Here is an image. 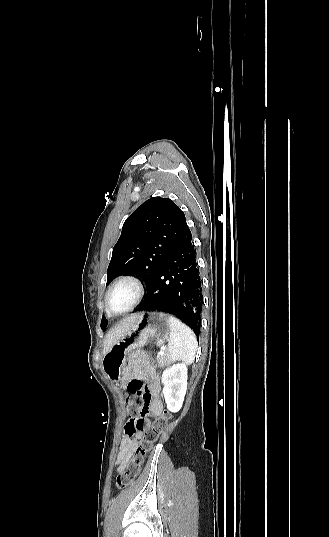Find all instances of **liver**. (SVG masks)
Returning a JSON list of instances; mask_svg holds the SVG:
<instances>
[{
    "label": "liver",
    "mask_w": 329,
    "mask_h": 537,
    "mask_svg": "<svg viewBox=\"0 0 329 537\" xmlns=\"http://www.w3.org/2000/svg\"><path fill=\"white\" fill-rule=\"evenodd\" d=\"M138 316H130L123 319L116 327L108 331L105 341L103 354H105L109 349L126 333L136 322Z\"/></svg>",
    "instance_id": "obj_1"
}]
</instances>
